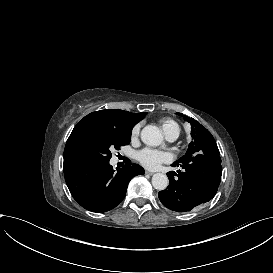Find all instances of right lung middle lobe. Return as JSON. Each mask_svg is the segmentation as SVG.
Returning <instances> with one entry per match:
<instances>
[{
  "label": "right lung middle lobe",
  "instance_id": "1",
  "mask_svg": "<svg viewBox=\"0 0 273 273\" xmlns=\"http://www.w3.org/2000/svg\"><path fill=\"white\" fill-rule=\"evenodd\" d=\"M131 132L118 131L94 124H82L69 136L64 161L73 168L109 162L112 149L128 145Z\"/></svg>",
  "mask_w": 273,
  "mask_h": 273
}]
</instances>
